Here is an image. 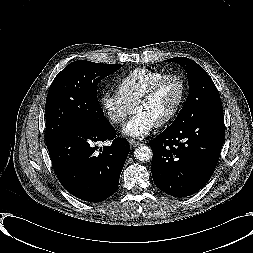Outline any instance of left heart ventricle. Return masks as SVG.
I'll use <instances>...</instances> for the list:
<instances>
[{
	"instance_id": "left-heart-ventricle-1",
	"label": "left heart ventricle",
	"mask_w": 253,
	"mask_h": 253,
	"mask_svg": "<svg viewBox=\"0 0 253 253\" xmlns=\"http://www.w3.org/2000/svg\"><path fill=\"white\" fill-rule=\"evenodd\" d=\"M180 95L179 81L169 78L160 85L152 99L140 105L136 112L143 113L158 123L175 109Z\"/></svg>"
}]
</instances>
